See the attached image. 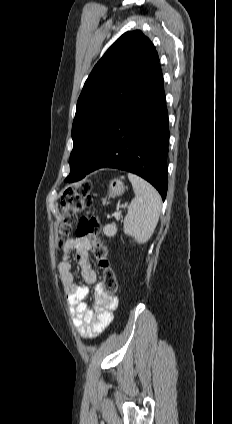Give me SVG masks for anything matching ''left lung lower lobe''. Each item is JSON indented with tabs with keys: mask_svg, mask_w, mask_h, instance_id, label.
<instances>
[{
	"mask_svg": "<svg viewBox=\"0 0 232 424\" xmlns=\"http://www.w3.org/2000/svg\"><path fill=\"white\" fill-rule=\"evenodd\" d=\"M168 141V112L158 64L103 136L86 174L105 167L126 170L150 182L165 200Z\"/></svg>",
	"mask_w": 232,
	"mask_h": 424,
	"instance_id": "0a47b994",
	"label": "left lung lower lobe"
}]
</instances>
